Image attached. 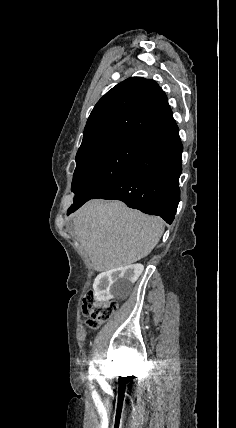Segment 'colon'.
Listing matches in <instances>:
<instances>
[{
	"instance_id": "5ec220e1",
	"label": "colon",
	"mask_w": 236,
	"mask_h": 428,
	"mask_svg": "<svg viewBox=\"0 0 236 428\" xmlns=\"http://www.w3.org/2000/svg\"><path fill=\"white\" fill-rule=\"evenodd\" d=\"M118 310L116 301H98L93 291H88L83 299L82 311L87 316V325L97 329L101 324L110 319Z\"/></svg>"
}]
</instances>
